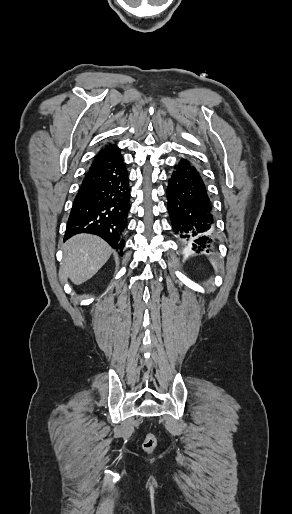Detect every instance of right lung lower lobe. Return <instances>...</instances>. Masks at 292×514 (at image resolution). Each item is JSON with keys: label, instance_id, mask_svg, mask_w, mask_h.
Returning a JSON list of instances; mask_svg holds the SVG:
<instances>
[{"label": "right lung lower lobe", "instance_id": "98d812e1", "mask_svg": "<svg viewBox=\"0 0 292 514\" xmlns=\"http://www.w3.org/2000/svg\"><path fill=\"white\" fill-rule=\"evenodd\" d=\"M129 201L128 171L121 154L93 161L74 199L64 239L90 233L102 237L114 249H123Z\"/></svg>", "mask_w": 292, "mask_h": 514}]
</instances>
